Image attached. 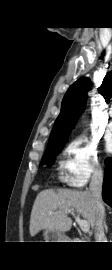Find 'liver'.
<instances>
[{"label": "liver", "mask_w": 112, "mask_h": 270, "mask_svg": "<svg viewBox=\"0 0 112 270\" xmlns=\"http://www.w3.org/2000/svg\"><path fill=\"white\" fill-rule=\"evenodd\" d=\"M76 210L94 228L95 204L90 191L69 189H46L38 193L30 216L29 231L35 236L41 230L66 232L72 227L67 211Z\"/></svg>", "instance_id": "obj_1"}]
</instances>
